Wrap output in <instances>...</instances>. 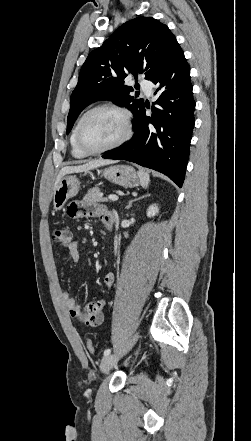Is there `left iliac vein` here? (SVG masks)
Returning <instances> with one entry per match:
<instances>
[{
    "instance_id": "obj_1",
    "label": "left iliac vein",
    "mask_w": 251,
    "mask_h": 441,
    "mask_svg": "<svg viewBox=\"0 0 251 441\" xmlns=\"http://www.w3.org/2000/svg\"><path fill=\"white\" fill-rule=\"evenodd\" d=\"M119 357L117 355H107L103 358L100 371L102 373L109 372L118 362Z\"/></svg>"
}]
</instances>
